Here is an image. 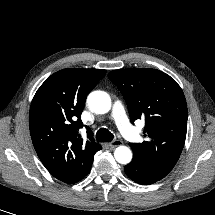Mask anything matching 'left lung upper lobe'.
Segmentation results:
<instances>
[{"label":"left lung upper lobe","instance_id":"left-lung-upper-lobe-1","mask_svg":"<svg viewBox=\"0 0 215 215\" xmlns=\"http://www.w3.org/2000/svg\"><path fill=\"white\" fill-rule=\"evenodd\" d=\"M110 80L128 105L131 122L145 120L143 143H129L144 164L170 172L182 152L188 110L182 89L169 75L150 68L114 70Z\"/></svg>","mask_w":215,"mask_h":215}]
</instances>
